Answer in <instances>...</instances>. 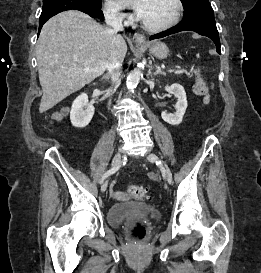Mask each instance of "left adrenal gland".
<instances>
[{"instance_id":"a2214340","label":"left adrenal gland","mask_w":261,"mask_h":273,"mask_svg":"<svg viewBox=\"0 0 261 273\" xmlns=\"http://www.w3.org/2000/svg\"><path fill=\"white\" fill-rule=\"evenodd\" d=\"M156 71L154 72V76L158 75V74H163L165 75V73L161 70L160 66L155 65Z\"/></svg>"}]
</instances>
